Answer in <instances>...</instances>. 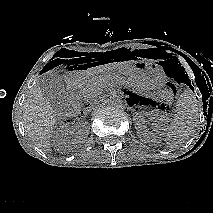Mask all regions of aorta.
Listing matches in <instances>:
<instances>
[{
	"label": "aorta",
	"instance_id": "aorta-1",
	"mask_svg": "<svg viewBox=\"0 0 213 213\" xmlns=\"http://www.w3.org/2000/svg\"><path fill=\"white\" fill-rule=\"evenodd\" d=\"M107 104L111 107H120L122 106V98L119 94L113 93L108 99Z\"/></svg>",
	"mask_w": 213,
	"mask_h": 213
}]
</instances>
